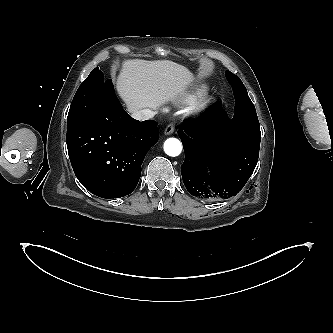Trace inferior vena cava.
<instances>
[{
	"label": "inferior vena cava",
	"instance_id": "602c4592",
	"mask_svg": "<svg viewBox=\"0 0 333 333\" xmlns=\"http://www.w3.org/2000/svg\"><path fill=\"white\" fill-rule=\"evenodd\" d=\"M154 115L155 112L148 108L141 109L132 113V117L140 121L151 119L154 117Z\"/></svg>",
	"mask_w": 333,
	"mask_h": 333
}]
</instances>
